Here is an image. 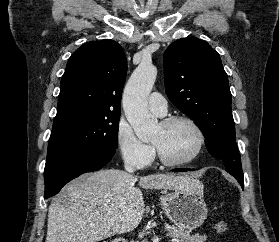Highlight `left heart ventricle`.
Masks as SVG:
<instances>
[{
  "mask_svg": "<svg viewBox=\"0 0 279 242\" xmlns=\"http://www.w3.org/2000/svg\"><path fill=\"white\" fill-rule=\"evenodd\" d=\"M151 142L169 159L181 160L192 154L197 136L190 125L176 122L168 127H156Z\"/></svg>",
  "mask_w": 279,
  "mask_h": 242,
  "instance_id": "obj_1",
  "label": "left heart ventricle"
}]
</instances>
